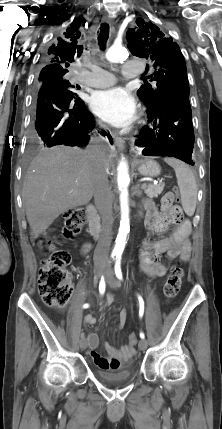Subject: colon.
I'll return each mask as SVG.
<instances>
[{"instance_id":"5ec220e1","label":"colon","mask_w":222,"mask_h":429,"mask_svg":"<svg viewBox=\"0 0 222 429\" xmlns=\"http://www.w3.org/2000/svg\"><path fill=\"white\" fill-rule=\"evenodd\" d=\"M176 192H168L162 199V204L171 206L178 201ZM87 213L82 208H72L63 215V235L67 238L77 235L86 222ZM50 255L43 260L38 277V290L43 302L50 307H64L73 294L68 265L70 254L55 246L53 242L47 243ZM184 269L180 264L174 265L163 286V296L166 300L173 299L181 288ZM138 338L131 333L128 338L129 346L134 347Z\"/></svg>"}]
</instances>
